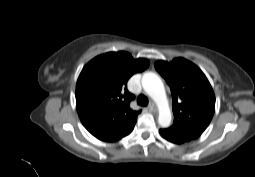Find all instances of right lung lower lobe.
I'll use <instances>...</instances> for the list:
<instances>
[{
    "label": "right lung lower lobe",
    "mask_w": 255,
    "mask_h": 177,
    "mask_svg": "<svg viewBox=\"0 0 255 177\" xmlns=\"http://www.w3.org/2000/svg\"><path fill=\"white\" fill-rule=\"evenodd\" d=\"M136 120L129 123L127 126H125L123 129H121L120 131H118L117 133L113 134L112 136H110L109 138H107L104 141L107 142H115L120 140L121 138L127 136L128 134H130L135 126Z\"/></svg>",
    "instance_id": "right-lung-lower-lobe-1"
}]
</instances>
